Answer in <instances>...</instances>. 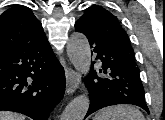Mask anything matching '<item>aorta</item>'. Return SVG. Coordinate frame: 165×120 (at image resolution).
<instances>
[{"label":"aorta","instance_id":"762f6f07","mask_svg":"<svg viewBox=\"0 0 165 120\" xmlns=\"http://www.w3.org/2000/svg\"><path fill=\"white\" fill-rule=\"evenodd\" d=\"M67 55L72 65L82 75L89 72L91 50L87 38L82 33H73L67 43ZM90 105L87 94L74 98L65 108L61 120H83Z\"/></svg>","mask_w":165,"mask_h":120}]
</instances>
